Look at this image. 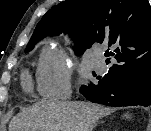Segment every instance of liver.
Here are the masks:
<instances>
[{
  "instance_id": "1",
  "label": "liver",
  "mask_w": 151,
  "mask_h": 131,
  "mask_svg": "<svg viewBox=\"0 0 151 131\" xmlns=\"http://www.w3.org/2000/svg\"><path fill=\"white\" fill-rule=\"evenodd\" d=\"M111 112L83 101H41L14 117L9 131H92L94 124Z\"/></svg>"
}]
</instances>
